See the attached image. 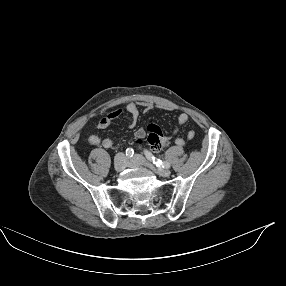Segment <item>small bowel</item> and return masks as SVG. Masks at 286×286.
<instances>
[{
	"label": "small bowel",
	"mask_w": 286,
	"mask_h": 286,
	"mask_svg": "<svg viewBox=\"0 0 286 286\" xmlns=\"http://www.w3.org/2000/svg\"><path fill=\"white\" fill-rule=\"evenodd\" d=\"M142 106L144 107V109L146 111H151L154 110L156 108H161L158 106H155L154 104L150 103V102H143ZM126 111L128 112V114L130 115V124L129 127L130 128H134L137 124L138 118L140 116V110H139V105L136 102H129L126 105ZM122 114V109H117L112 111L111 113H109L108 115H106L105 117L101 118L98 122V128L99 129H105L107 128L114 120H116L117 118L120 117V115ZM189 120V115L187 113H181L178 117H177V124L176 127L173 130V135H176L179 131V129L188 122ZM146 135V131L144 128H138L135 131V136L137 138H144ZM195 137V132L193 130H189L187 132V138L189 140H192ZM88 142L91 145H102L105 148H111L113 145V141L110 138H106L104 140H102L98 135H90L88 137ZM167 144V139L165 138L162 142V145L165 146ZM175 144L178 147H183L185 145V140L181 137H177L175 139Z\"/></svg>",
	"instance_id": "1"
}]
</instances>
